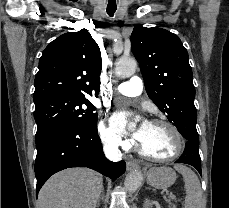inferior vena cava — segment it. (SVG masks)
Here are the masks:
<instances>
[{"mask_svg":"<svg viewBox=\"0 0 229 208\" xmlns=\"http://www.w3.org/2000/svg\"><path fill=\"white\" fill-rule=\"evenodd\" d=\"M105 156L108 158V160H112V162H119L120 156L118 152H112V150H109V148H106L105 150Z\"/></svg>","mask_w":229,"mask_h":208,"instance_id":"602c4592","label":"inferior vena cava"}]
</instances>
